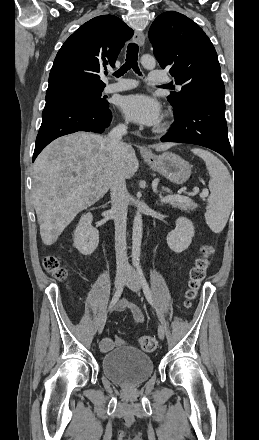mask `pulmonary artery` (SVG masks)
<instances>
[{"instance_id": "obj_1", "label": "pulmonary artery", "mask_w": 259, "mask_h": 440, "mask_svg": "<svg viewBox=\"0 0 259 440\" xmlns=\"http://www.w3.org/2000/svg\"><path fill=\"white\" fill-rule=\"evenodd\" d=\"M149 82L151 83H163L169 81L168 77L163 73L153 70L149 73ZM137 86V82L133 79L117 78L114 83L106 85L104 91L106 93L118 92L129 90Z\"/></svg>"}]
</instances>
